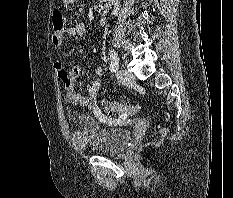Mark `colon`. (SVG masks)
I'll list each match as a JSON object with an SVG mask.
<instances>
[{
	"mask_svg": "<svg viewBox=\"0 0 233 198\" xmlns=\"http://www.w3.org/2000/svg\"><path fill=\"white\" fill-rule=\"evenodd\" d=\"M66 19L62 11L55 9L52 12V26L53 32H60L65 28ZM104 108L113 115H117L120 118H126L135 115L139 111V105L137 103H125L108 101L105 102ZM167 130L162 129L160 134H166Z\"/></svg>",
	"mask_w": 233,
	"mask_h": 198,
	"instance_id": "1",
	"label": "colon"
}]
</instances>
